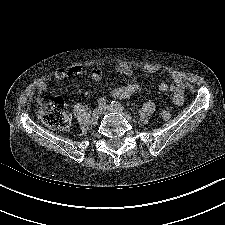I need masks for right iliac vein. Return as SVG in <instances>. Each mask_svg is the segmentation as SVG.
<instances>
[{
    "label": "right iliac vein",
    "instance_id": "obj_1",
    "mask_svg": "<svg viewBox=\"0 0 225 225\" xmlns=\"http://www.w3.org/2000/svg\"><path fill=\"white\" fill-rule=\"evenodd\" d=\"M102 114L101 108H96L93 112H92V116H91V121L92 123H96L98 121V119L100 118V115Z\"/></svg>",
    "mask_w": 225,
    "mask_h": 225
}]
</instances>
